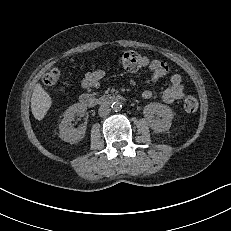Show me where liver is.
Masks as SVG:
<instances>
[{"label": "liver", "instance_id": "1", "mask_svg": "<svg viewBox=\"0 0 231 231\" xmlns=\"http://www.w3.org/2000/svg\"><path fill=\"white\" fill-rule=\"evenodd\" d=\"M52 104L51 97L41 84H36L31 97L32 114L37 120H42Z\"/></svg>", "mask_w": 231, "mask_h": 231}]
</instances>
